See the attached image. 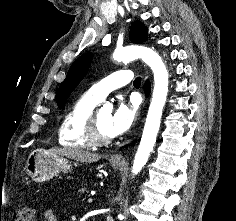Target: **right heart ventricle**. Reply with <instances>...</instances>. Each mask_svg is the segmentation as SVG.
<instances>
[{"label": "right heart ventricle", "mask_w": 236, "mask_h": 221, "mask_svg": "<svg viewBox=\"0 0 236 221\" xmlns=\"http://www.w3.org/2000/svg\"><path fill=\"white\" fill-rule=\"evenodd\" d=\"M97 103L87 93L73 102L59 125L58 142L61 146L68 149H89L93 146L85 136V126Z\"/></svg>", "instance_id": "1"}]
</instances>
